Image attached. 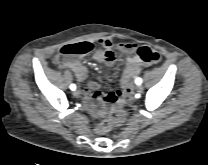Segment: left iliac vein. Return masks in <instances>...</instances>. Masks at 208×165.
<instances>
[{
	"instance_id": "left-iliac-vein-1",
	"label": "left iliac vein",
	"mask_w": 208,
	"mask_h": 165,
	"mask_svg": "<svg viewBox=\"0 0 208 165\" xmlns=\"http://www.w3.org/2000/svg\"><path fill=\"white\" fill-rule=\"evenodd\" d=\"M136 90L139 93L143 92V86L142 85H137Z\"/></svg>"
}]
</instances>
